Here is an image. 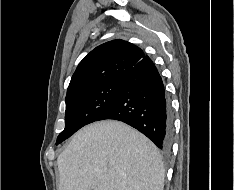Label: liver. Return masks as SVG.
<instances>
[{
	"instance_id": "liver-1",
	"label": "liver",
	"mask_w": 234,
	"mask_h": 190,
	"mask_svg": "<svg viewBox=\"0 0 234 190\" xmlns=\"http://www.w3.org/2000/svg\"><path fill=\"white\" fill-rule=\"evenodd\" d=\"M59 190H163L165 170L156 146L120 121L87 125L57 159Z\"/></svg>"
}]
</instances>
